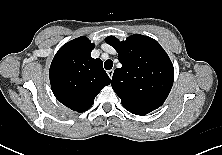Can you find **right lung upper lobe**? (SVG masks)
<instances>
[{"label": "right lung upper lobe", "instance_id": "right-lung-upper-lobe-1", "mask_svg": "<svg viewBox=\"0 0 222 155\" xmlns=\"http://www.w3.org/2000/svg\"><path fill=\"white\" fill-rule=\"evenodd\" d=\"M95 45L79 37L63 45L50 66V83L55 97L77 112L88 110L100 90L111 83L101 59H93Z\"/></svg>", "mask_w": 222, "mask_h": 155}]
</instances>
